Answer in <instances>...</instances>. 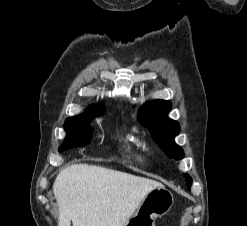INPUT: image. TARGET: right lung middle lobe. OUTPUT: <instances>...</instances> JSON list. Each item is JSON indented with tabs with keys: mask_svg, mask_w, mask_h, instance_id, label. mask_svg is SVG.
I'll return each instance as SVG.
<instances>
[{
	"mask_svg": "<svg viewBox=\"0 0 247 226\" xmlns=\"http://www.w3.org/2000/svg\"><path fill=\"white\" fill-rule=\"evenodd\" d=\"M92 115H96L95 108L90 109ZM65 130L67 132L64 143L59 148V151H64L68 148L86 145L89 143L90 128L87 125L86 118L83 115L70 117L65 121Z\"/></svg>",
	"mask_w": 247,
	"mask_h": 226,
	"instance_id": "right-lung-middle-lobe-1",
	"label": "right lung middle lobe"
}]
</instances>
